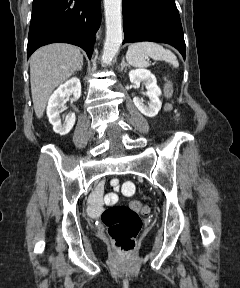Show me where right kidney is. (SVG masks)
Listing matches in <instances>:
<instances>
[{
  "label": "right kidney",
  "instance_id": "obj_1",
  "mask_svg": "<svg viewBox=\"0 0 240 288\" xmlns=\"http://www.w3.org/2000/svg\"><path fill=\"white\" fill-rule=\"evenodd\" d=\"M69 94H73L74 97H79L81 95V83L76 77L60 85L50 96L47 106L49 122L53 125V130L62 136L70 132L76 119L75 114L70 113L66 117L65 122H61L60 113L66 109L64 107L66 102L65 98Z\"/></svg>",
  "mask_w": 240,
  "mask_h": 288
}]
</instances>
